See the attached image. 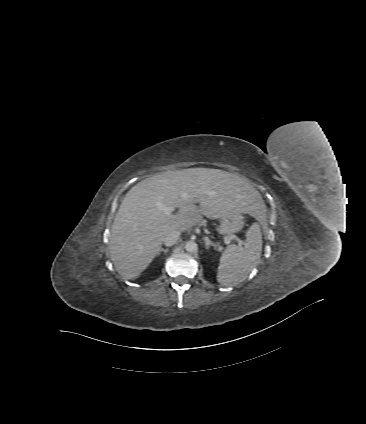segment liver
<instances>
[{"label":"liver","instance_id":"liver-1","mask_svg":"<svg viewBox=\"0 0 366 424\" xmlns=\"http://www.w3.org/2000/svg\"><path fill=\"white\" fill-rule=\"evenodd\" d=\"M157 203L181 211L167 216ZM264 211L260 193L237 174L209 168L157 174L133 186L122 201L111 229L110 257L122 277L135 279L157 255L168 232H190L203 216L246 213L260 219Z\"/></svg>","mask_w":366,"mask_h":424}]
</instances>
